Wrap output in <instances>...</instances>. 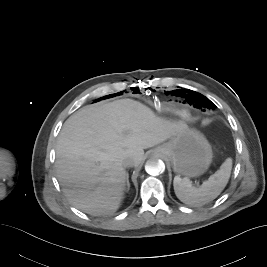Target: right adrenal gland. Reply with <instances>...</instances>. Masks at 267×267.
Returning <instances> with one entry per match:
<instances>
[{
  "mask_svg": "<svg viewBox=\"0 0 267 267\" xmlns=\"http://www.w3.org/2000/svg\"><path fill=\"white\" fill-rule=\"evenodd\" d=\"M126 191H129V189H130V183H129V175H128V173H127V175H126Z\"/></svg>",
  "mask_w": 267,
  "mask_h": 267,
  "instance_id": "obj_1",
  "label": "right adrenal gland"
}]
</instances>
